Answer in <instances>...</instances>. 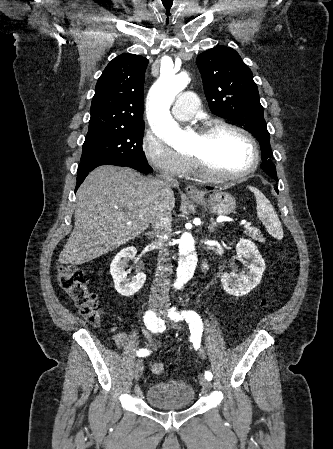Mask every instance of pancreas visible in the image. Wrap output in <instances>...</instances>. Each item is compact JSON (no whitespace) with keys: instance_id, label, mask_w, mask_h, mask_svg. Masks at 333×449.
Instances as JSON below:
<instances>
[{"instance_id":"pancreas-1","label":"pancreas","mask_w":333,"mask_h":449,"mask_svg":"<svg viewBox=\"0 0 333 449\" xmlns=\"http://www.w3.org/2000/svg\"><path fill=\"white\" fill-rule=\"evenodd\" d=\"M247 235L250 236L253 240H259L260 242H264L263 236L260 231L256 228H247Z\"/></svg>"}]
</instances>
